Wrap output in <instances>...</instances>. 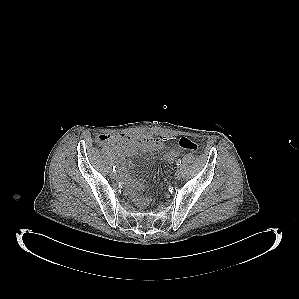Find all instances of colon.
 Returning a JSON list of instances; mask_svg holds the SVG:
<instances>
[{"mask_svg":"<svg viewBox=\"0 0 299 299\" xmlns=\"http://www.w3.org/2000/svg\"><path fill=\"white\" fill-rule=\"evenodd\" d=\"M179 146L184 149V150H188V151H191V152H197L198 150V144L188 138V137H182L180 140H179ZM149 202L148 199H142V203L143 204H147Z\"/></svg>","mask_w":299,"mask_h":299,"instance_id":"colon-1","label":"colon"}]
</instances>
